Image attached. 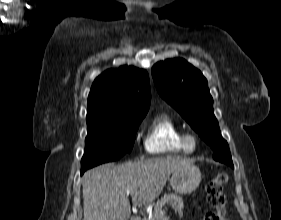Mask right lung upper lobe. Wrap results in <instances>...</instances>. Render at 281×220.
Returning a JSON list of instances; mask_svg holds the SVG:
<instances>
[{
	"mask_svg": "<svg viewBox=\"0 0 281 220\" xmlns=\"http://www.w3.org/2000/svg\"><path fill=\"white\" fill-rule=\"evenodd\" d=\"M149 76L132 66L110 69L97 77L88 97L87 120H113L146 115Z\"/></svg>",
	"mask_w": 281,
	"mask_h": 220,
	"instance_id": "cb5924a9",
	"label": "right lung upper lobe"
}]
</instances>
